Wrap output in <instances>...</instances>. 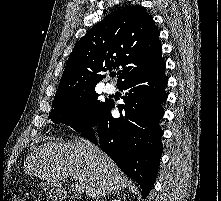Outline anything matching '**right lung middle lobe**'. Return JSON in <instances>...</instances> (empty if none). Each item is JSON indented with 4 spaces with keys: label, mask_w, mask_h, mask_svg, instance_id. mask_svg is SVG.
Here are the masks:
<instances>
[{
    "label": "right lung middle lobe",
    "mask_w": 221,
    "mask_h": 201,
    "mask_svg": "<svg viewBox=\"0 0 221 201\" xmlns=\"http://www.w3.org/2000/svg\"><path fill=\"white\" fill-rule=\"evenodd\" d=\"M98 96L94 89H88L55 97L49 118L80 132L95 124L110 104V100L102 101Z\"/></svg>",
    "instance_id": "1"
}]
</instances>
